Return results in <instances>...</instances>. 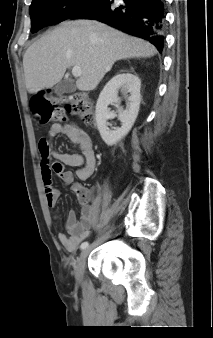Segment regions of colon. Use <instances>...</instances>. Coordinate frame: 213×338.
<instances>
[{
	"label": "colon",
	"instance_id": "obj_1",
	"mask_svg": "<svg viewBox=\"0 0 213 338\" xmlns=\"http://www.w3.org/2000/svg\"><path fill=\"white\" fill-rule=\"evenodd\" d=\"M30 106L33 116L41 124L52 121L61 123L66 112L80 117L86 124H92L94 121L92 103L85 93L75 92L61 96L35 94Z\"/></svg>",
	"mask_w": 213,
	"mask_h": 338
}]
</instances>
